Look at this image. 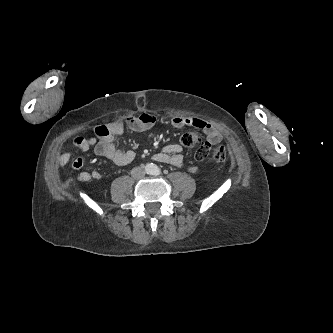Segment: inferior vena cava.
I'll list each match as a JSON object with an SVG mask.
<instances>
[{"instance_id":"inferior-vena-cava-1","label":"inferior vena cava","mask_w":333,"mask_h":333,"mask_svg":"<svg viewBox=\"0 0 333 333\" xmlns=\"http://www.w3.org/2000/svg\"><path fill=\"white\" fill-rule=\"evenodd\" d=\"M134 179H142L145 176V170L142 167H135L131 171Z\"/></svg>"}]
</instances>
